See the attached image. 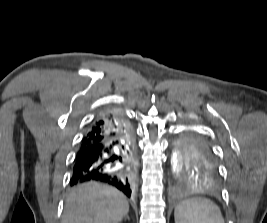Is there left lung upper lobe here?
Returning <instances> with one entry per match:
<instances>
[{
  "mask_svg": "<svg viewBox=\"0 0 267 223\" xmlns=\"http://www.w3.org/2000/svg\"><path fill=\"white\" fill-rule=\"evenodd\" d=\"M179 171H218L212 149L204 139L187 135L179 142Z\"/></svg>",
  "mask_w": 267,
  "mask_h": 223,
  "instance_id": "left-lung-upper-lobe-1",
  "label": "left lung upper lobe"
}]
</instances>
